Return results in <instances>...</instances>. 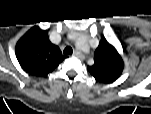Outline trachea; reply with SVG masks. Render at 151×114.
<instances>
[{
    "mask_svg": "<svg viewBox=\"0 0 151 114\" xmlns=\"http://www.w3.org/2000/svg\"><path fill=\"white\" fill-rule=\"evenodd\" d=\"M72 52H73V50L69 46L64 49V54H72Z\"/></svg>",
    "mask_w": 151,
    "mask_h": 114,
    "instance_id": "trachea-1",
    "label": "trachea"
}]
</instances>
